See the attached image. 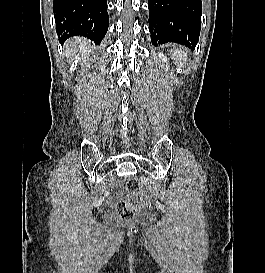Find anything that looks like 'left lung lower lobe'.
<instances>
[{"label": "left lung lower lobe", "instance_id": "0a47b994", "mask_svg": "<svg viewBox=\"0 0 265 273\" xmlns=\"http://www.w3.org/2000/svg\"><path fill=\"white\" fill-rule=\"evenodd\" d=\"M154 45L175 42L194 50L201 28V0H148Z\"/></svg>", "mask_w": 265, "mask_h": 273}]
</instances>
